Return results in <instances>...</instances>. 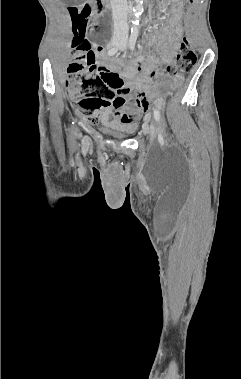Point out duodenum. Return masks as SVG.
<instances>
[{"mask_svg": "<svg viewBox=\"0 0 241 379\" xmlns=\"http://www.w3.org/2000/svg\"><path fill=\"white\" fill-rule=\"evenodd\" d=\"M102 2L107 5L109 3V0H102Z\"/></svg>", "mask_w": 241, "mask_h": 379, "instance_id": "410a0bca", "label": "duodenum"}]
</instances>
